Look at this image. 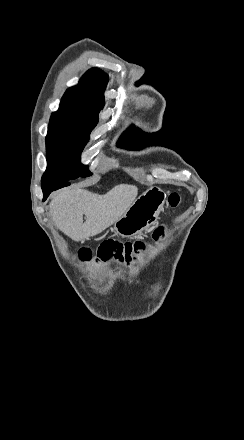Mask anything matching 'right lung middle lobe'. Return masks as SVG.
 I'll use <instances>...</instances> for the list:
<instances>
[{
    "instance_id": "dd1d6c3e",
    "label": "right lung middle lobe",
    "mask_w": 244,
    "mask_h": 440,
    "mask_svg": "<svg viewBox=\"0 0 244 440\" xmlns=\"http://www.w3.org/2000/svg\"><path fill=\"white\" fill-rule=\"evenodd\" d=\"M99 111L60 106L52 114L46 137L48 166L42 183L92 175L80 160L90 133L98 123Z\"/></svg>"
}]
</instances>
